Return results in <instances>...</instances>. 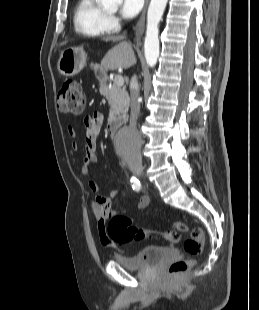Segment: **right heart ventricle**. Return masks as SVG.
Here are the masks:
<instances>
[{
	"mask_svg": "<svg viewBox=\"0 0 259 310\" xmlns=\"http://www.w3.org/2000/svg\"><path fill=\"white\" fill-rule=\"evenodd\" d=\"M107 13L97 0H79L74 13V26L77 32L87 36L108 33Z\"/></svg>",
	"mask_w": 259,
	"mask_h": 310,
	"instance_id": "1",
	"label": "right heart ventricle"
}]
</instances>
